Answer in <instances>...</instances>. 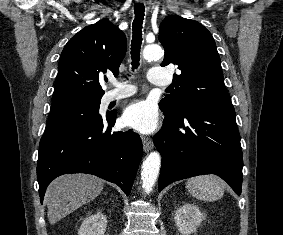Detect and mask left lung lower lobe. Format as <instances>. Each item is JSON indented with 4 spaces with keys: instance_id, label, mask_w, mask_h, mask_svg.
Here are the masks:
<instances>
[{
    "instance_id": "0a47b994",
    "label": "left lung lower lobe",
    "mask_w": 283,
    "mask_h": 235,
    "mask_svg": "<svg viewBox=\"0 0 283 235\" xmlns=\"http://www.w3.org/2000/svg\"><path fill=\"white\" fill-rule=\"evenodd\" d=\"M154 144L162 155L159 192L181 179L216 174L241 194L243 154L233 107L166 116Z\"/></svg>"
}]
</instances>
